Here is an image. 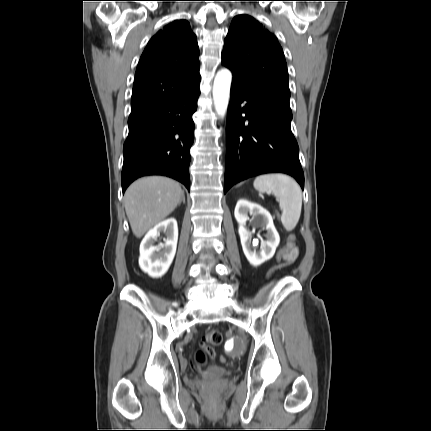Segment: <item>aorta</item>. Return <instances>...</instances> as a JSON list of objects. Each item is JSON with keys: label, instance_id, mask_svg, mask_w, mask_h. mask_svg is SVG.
<instances>
[{"label": "aorta", "instance_id": "762f6f07", "mask_svg": "<svg viewBox=\"0 0 431 431\" xmlns=\"http://www.w3.org/2000/svg\"><path fill=\"white\" fill-rule=\"evenodd\" d=\"M232 81V74L228 69L219 71L213 83V99L215 109L220 115H224L228 106V98L230 93V86Z\"/></svg>", "mask_w": 431, "mask_h": 431}]
</instances>
